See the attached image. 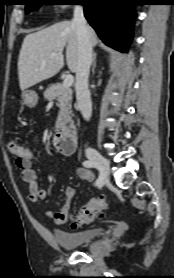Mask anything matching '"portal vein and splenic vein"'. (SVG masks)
<instances>
[{
	"mask_svg": "<svg viewBox=\"0 0 174 278\" xmlns=\"http://www.w3.org/2000/svg\"><path fill=\"white\" fill-rule=\"evenodd\" d=\"M52 56H55V53L52 54ZM74 82V78L72 75H66V77L64 78V81L62 83V85L64 87H70Z\"/></svg>",
	"mask_w": 174,
	"mask_h": 278,
	"instance_id": "1",
	"label": "portal vein and splenic vein"
}]
</instances>
